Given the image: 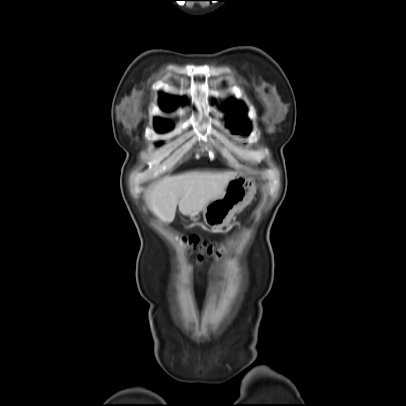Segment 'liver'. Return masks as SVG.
<instances>
[{
	"instance_id": "1",
	"label": "liver",
	"mask_w": 406,
	"mask_h": 406,
	"mask_svg": "<svg viewBox=\"0 0 406 406\" xmlns=\"http://www.w3.org/2000/svg\"><path fill=\"white\" fill-rule=\"evenodd\" d=\"M236 175L235 171H189L167 176L149 189V208L167 224L174 220L177 205L185 216L199 213Z\"/></svg>"
}]
</instances>
